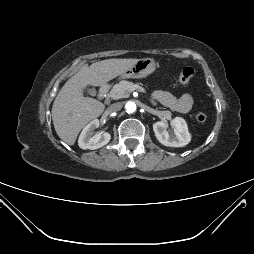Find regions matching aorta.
Instances as JSON below:
<instances>
[{
    "label": "aorta",
    "mask_w": 254,
    "mask_h": 254,
    "mask_svg": "<svg viewBox=\"0 0 254 254\" xmlns=\"http://www.w3.org/2000/svg\"><path fill=\"white\" fill-rule=\"evenodd\" d=\"M125 109L127 113H133L136 110V104L134 102H127Z\"/></svg>",
    "instance_id": "762f6f07"
}]
</instances>
